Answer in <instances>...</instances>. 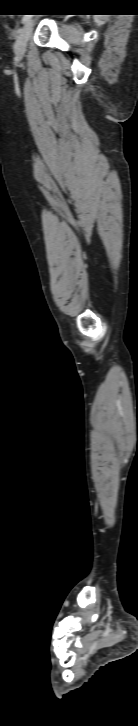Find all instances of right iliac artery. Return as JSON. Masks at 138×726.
Segmentation results:
<instances>
[{"mask_svg": "<svg viewBox=\"0 0 138 726\" xmlns=\"http://www.w3.org/2000/svg\"><path fill=\"white\" fill-rule=\"evenodd\" d=\"M29 19H30V16H29V15H26V16H24V17L22 18V23H23V24H24V23H26V22H27V21H28Z\"/></svg>", "mask_w": 138, "mask_h": 726, "instance_id": "obj_1", "label": "right iliac artery"}]
</instances>
